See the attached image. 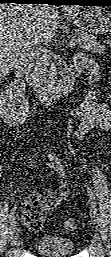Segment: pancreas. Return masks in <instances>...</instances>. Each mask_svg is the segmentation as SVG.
Wrapping results in <instances>:
<instances>
[{
	"label": "pancreas",
	"instance_id": "cf45deb5",
	"mask_svg": "<svg viewBox=\"0 0 111 257\" xmlns=\"http://www.w3.org/2000/svg\"><path fill=\"white\" fill-rule=\"evenodd\" d=\"M104 43L111 45V41H97L95 37L92 35H85L84 37H81L80 44L82 47L91 53L102 55L106 51Z\"/></svg>",
	"mask_w": 111,
	"mask_h": 257
}]
</instances>
